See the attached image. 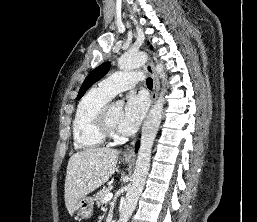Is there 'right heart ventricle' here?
Returning a JSON list of instances; mask_svg holds the SVG:
<instances>
[{"instance_id":"obj_1","label":"right heart ventricle","mask_w":257,"mask_h":222,"mask_svg":"<svg viewBox=\"0 0 257 222\" xmlns=\"http://www.w3.org/2000/svg\"><path fill=\"white\" fill-rule=\"evenodd\" d=\"M111 98L99 87L91 89L82 97L72 124L76 149L90 150L102 146L105 138L99 132L97 121L102 108Z\"/></svg>"}]
</instances>
